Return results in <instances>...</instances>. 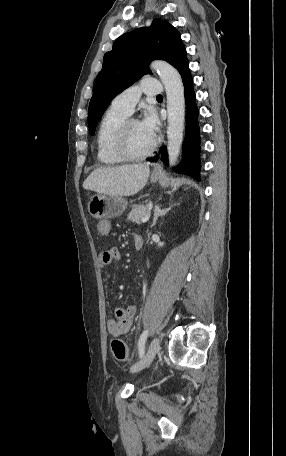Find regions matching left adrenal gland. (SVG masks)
<instances>
[{
	"mask_svg": "<svg viewBox=\"0 0 286 456\" xmlns=\"http://www.w3.org/2000/svg\"><path fill=\"white\" fill-rule=\"evenodd\" d=\"M171 208L172 206H170L169 208L160 209V207L156 205L154 209V218L151 227L155 226L158 218L164 216Z\"/></svg>",
	"mask_w": 286,
	"mask_h": 456,
	"instance_id": "left-adrenal-gland-1",
	"label": "left adrenal gland"
}]
</instances>
